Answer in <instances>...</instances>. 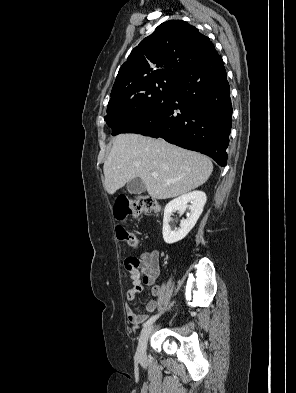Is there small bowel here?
Returning <instances> with one entry per match:
<instances>
[{"mask_svg":"<svg viewBox=\"0 0 296 393\" xmlns=\"http://www.w3.org/2000/svg\"><path fill=\"white\" fill-rule=\"evenodd\" d=\"M124 267L131 279L132 287L126 292L127 318L134 326H140L148 319L147 314H136L130 307V303L136 298V294L144 289V285H152L151 294L154 297L145 305V310L152 313L157 309L155 299L161 294V288L154 285L160 272L159 253L157 250L145 251L139 256H129L124 261Z\"/></svg>","mask_w":296,"mask_h":393,"instance_id":"c3829d8e","label":"small bowel"}]
</instances>
